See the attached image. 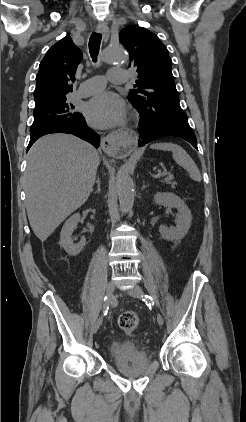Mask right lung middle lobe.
Instances as JSON below:
<instances>
[{
  "label": "right lung middle lobe",
  "mask_w": 246,
  "mask_h": 422,
  "mask_svg": "<svg viewBox=\"0 0 246 422\" xmlns=\"http://www.w3.org/2000/svg\"><path fill=\"white\" fill-rule=\"evenodd\" d=\"M74 107L66 102V98L57 100L41 108L34 109V122L30 133L57 123H70L82 117Z\"/></svg>",
  "instance_id": "1"
}]
</instances>
